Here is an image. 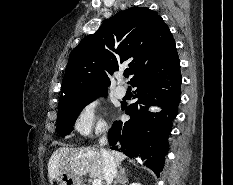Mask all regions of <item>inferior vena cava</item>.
I'll return each instance as SVG.
<instances>
[{"label": "inferior vena cava", "instance_id": "1", "mask_svg": "<svg viewBox=\"0 0 233 185\" xmlns=\"http://www.w3.org/2000/svg\"><path fill=\"white\" fill-rule=\"evenodd\" d=\"M106 129H102L100 131V134L102 136L99 139V144H100V152L103 158V172H104V180L106 182V185H111L113 179L117 175V170H116V162L114 160V157L112 154L108 151H106L103 146H105L108 143L107 136H106Z\"/></svg>", "mask_w": 233, "mask_h": 185}]
</instances>
